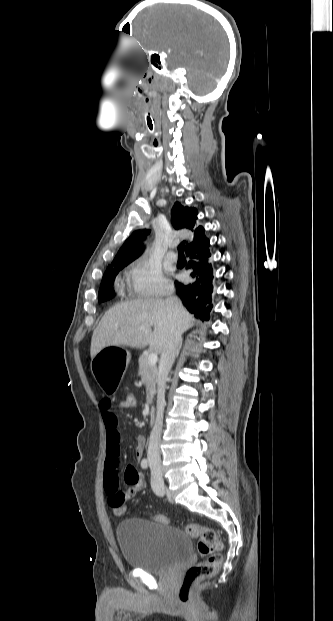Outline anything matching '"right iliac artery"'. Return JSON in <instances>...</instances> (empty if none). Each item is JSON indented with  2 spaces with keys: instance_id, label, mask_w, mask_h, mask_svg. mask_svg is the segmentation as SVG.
I'll use <instances>...</instances> for the list:
<instances>
[{
  "instance_id": "82829eb1",
  "label": "right iliac artery",
  "mask_w": 333,
  "mask_h": 621,
  "mask_svg": "<svg viewBox=\"0 0 333 621\" xmlns=\"http://www.w3.org/2000/svg\"><path fill=\"white\" fill-rule=\"evenodd\" d=\"M141 467L143 469H147L148 468V460L146 458H143L141 461Z\"/></svg>"
}]
</instances>
